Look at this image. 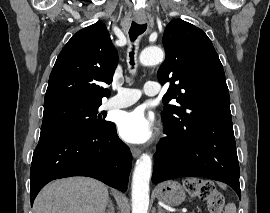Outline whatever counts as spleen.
I'll use <instances>...</instances> for the list:
<instances>
[{"label": "spleen", "mask_w": 270, "mask_h": 213, "mask_svg": "<svg viewBox=\"0 0 270 213\" xmlns=\"http://www.w3.org/2000/svg\"><path fill=\"white\" fill-rule=\"evenodd\" d=\"M224 213H236V206L234 203H229L225 207V212Z\"/></svg>", "instance_id": "1"}]
</instances>
